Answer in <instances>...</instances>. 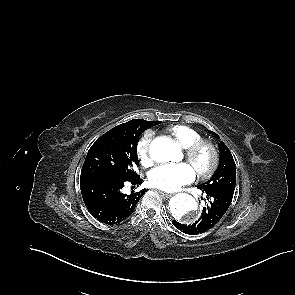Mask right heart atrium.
<instances>
[{
  "label": "right heart atrium",
  "instance_id": "obj_1",
  "mask_svg": "<svg viewBox=\"0 0 295 295\" xmlns=\"http://www.w3.org/2000/svg\"><path fill=\"white\" fill-rule=\"evenodd\" d=\"M152 136L150 133L144 134L137 144V155L144 166H151L154 162V156L151 150Z\"/></svg>",
  "mask_w": 295,
  "mask_h": 295
}]
</instances>
